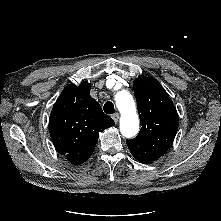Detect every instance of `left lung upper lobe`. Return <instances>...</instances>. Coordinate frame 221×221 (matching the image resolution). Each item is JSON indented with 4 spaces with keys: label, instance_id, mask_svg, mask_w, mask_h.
I'll return each instance as SVG.
<instances>
[{
    "label": "left lung upper lobe",
    "instance_id": "1",
    "mask_svg": "<svg viewBox=\"0 0 221 221\" xmlns=\"http://www.w3.org/2000/svg\"><path fill=\"white\" fill-rule=\"evenodd\" d=\"M133 89L142 128L136 138L126 142L138 161L149 163L161 157L172 145L178 130V113L155 78H138Z\"/></svg>",
    "mask_w": 221,
    "mask_h": 221
}]
</instances>
